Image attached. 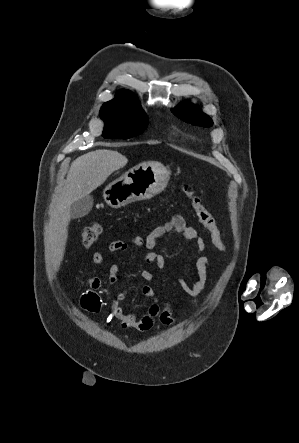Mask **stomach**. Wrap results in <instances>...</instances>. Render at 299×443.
<instances>
[{"label":"stomach","instance_id":"0dacf381","mask_svg":"<svg viewBox=\"0 0 299 443\" xmlns=\"http://www.w3.org/2000/svg\"><path fill=\"white\" fill-rule=\"evenodd\" d=\"M170 172L160 163H142L111 182L104 190L106 203L120 208L129 203L147 200L162 192Z\"/></svg>","mask_w":299,"mask_h":443}]
</instances>
